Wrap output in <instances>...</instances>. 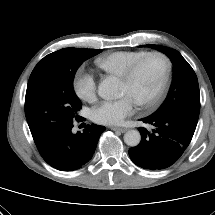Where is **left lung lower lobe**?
<instances>
[{
    "label": "left lung lower lobe",
    "instance_id": "left-lung-lower-lobe-1",
    "mask_svg": "<svg viewBox=\"0 0 215 215\" xmlns=\"http://www.w3.org/2000/svg\"><path fill=\"white\" fill-rule=\"evenodd\" d=\"M141 120L152 130L139 128L141 142L129 149V156L137 166L149 170L174 164L188 147L197 125L177 114H152Z\"/></svg>",
    "mask_w": 215,
    "mask_h": 215
}]
</instances>
